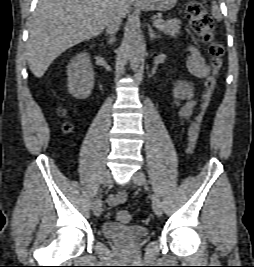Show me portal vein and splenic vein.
Listing matches in <instances>:
<instances>
[{
  "mask_svg": "<svg viewBox=\"0 0 254 267\" xmlns=\"http://www.w3.org/2000/svg\"><path fill=\"white\" fill-rule=\"evenodd\" d=\"M162 22H164V20L163 19H156V20H154L153 21V26H158L159 24H161Z\"/></svg>",
  "mask_w": 254,
  "mask_h": 267,
  "instance_id": "obj_1",
  "label": "portal vein and splenic vein"
}]
</instances>
